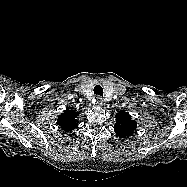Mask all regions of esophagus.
<instances>
[{
    "mask_svg": "<svg viewBox=\"0 0 187 187\" xmlns=\"http://www.w3.org/2000/svg\"><path fill=\"white\" fill-rule=\"evenodd\" d=\"M96 102L98 105L102 106L103 105V99L100 96L96 97Z\"/></svg>",
    "mask_w": 187,
    "mask_h": 187,
    "instance_id": "1",
    "label": "esophagus"
}]
</instances>
